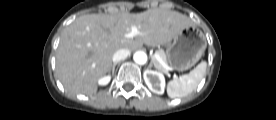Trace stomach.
<instances>
[{
    "instance_id": "0dacf381",
    "label": "stomach",
    "mask_w": 276,
    "mask_h": 120,
    "mask_svg": "<svg viewBox=\"0 0 276 120\" xmlns=\"http://www.w3.org/2000/svg\"><path fill=\"white\" fill-rule=\"evenodd\" d=\"M206 46V37L200 29L186 27L167 46V63L174 70L186 71L199 61Z\"/></svg>"
}]
</instances>
